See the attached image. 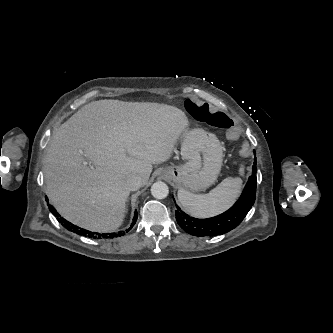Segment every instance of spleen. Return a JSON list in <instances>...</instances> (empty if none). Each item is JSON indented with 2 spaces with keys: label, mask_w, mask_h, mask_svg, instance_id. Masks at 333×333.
<instances>
[{
  "label": "spleen",
  "mask_w": 333,
  "mask_h": 333,
  "mask_svg": "<svg viewBox=\"0 0 333 333\" xmlns=\"http://www.w3.org/2000/svg\"><path fill=\"white\" fill-rule=\"evenodd\" d=\"M244 169L240 168L243 173ZM242 186L241 178L228 177L207 194H193L185 189L178 190V199L192 216L206 218L227 210L237 199Z\"/></svg>",
  "instance_id": "1"
}]
</instances>
